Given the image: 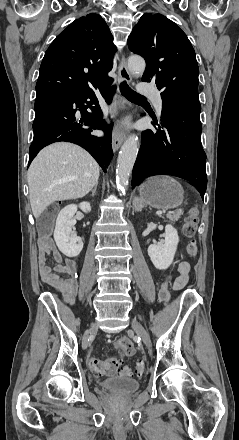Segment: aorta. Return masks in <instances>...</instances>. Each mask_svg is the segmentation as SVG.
Returning a JSON list of instances; mask_svg holds the SVG:
<instances>
[{"instance_id": "762f6f07", "label": "aorta", "mask_w": 239, "mask_h": 440, "mask_svg": "<svg viewBox=\"0 0 239 440\" xmlns=\"http://www.w3.org/2000/svg\"><path fill=\"white\" fill-rule=\"evenodd\" d=\"M128 68L131 74L142 76L146 64L140 56H130ZM139 150V140L137 136H129L124 142L117 160L116 178L119 188H127L130 174L133 170L135 160Z\"/></svg>"}]
</instances>
